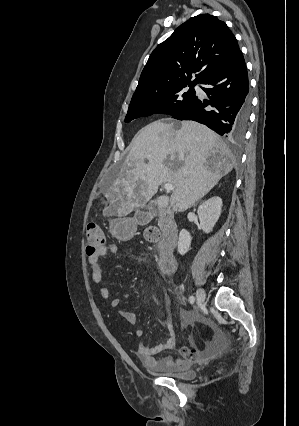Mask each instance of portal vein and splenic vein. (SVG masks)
<instances>
[{
  "instance_id": "18ae733b",
  "label": "portal vein and splenic vein",
  "mask_w": 299,
  "mask_h": 426,
  "mask_svg": "<svg viewBox=\"0 0 299 426\" xmlns=\"http://www.w3.org/2000/svg\"><path fill=\"white\" fill-rule=\"evenodd\" d=\"M164 189H165V191L170 192V191L175 189V186L173 184H170V183H165Z\"/></svg>"
}]
</instances>
